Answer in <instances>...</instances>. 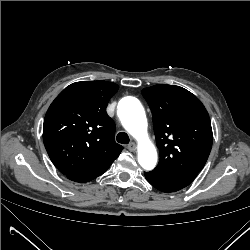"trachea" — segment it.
<instances>
[{
    "mask_svg": "<svg viewBox=\"0 0 250 250\" xmlns=\"http://www.w3.org/2000/svg\"><path fill=\"white\" fill-rule=\"evenodd\" d=\"M116 139L121 144H128L130 141L129 136L125 132L118 133Z\"/></svg>",
    "mask_w": 250,
    "mask_h": 250,
    "instance_id": "1",
    "label": "trachea"
}]
</instances>
